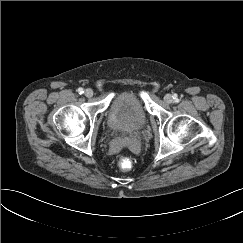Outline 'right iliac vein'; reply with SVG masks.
<instances>
[{
  "label": "right iliac vein",
  "instance_id": "1",
  "mask_svg": "<svg viewBox=\"0 0 243 243\" xmlns=\"http://www.w3.org/2000/svg\"><path fill=\"white\" fill-rule=\"evenodd\" d=\"M84 94H85L86 97L90 98V97L93 96V90L88 88V89L85 90Z\"/></svg>",
  "mask_w": 243,
  "mask_h": 243
}]
</instances>
